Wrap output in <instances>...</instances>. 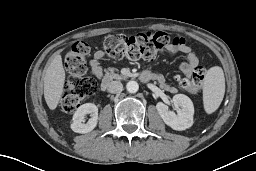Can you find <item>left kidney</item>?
Listing matches in <instances>:
<instances>
[{
	"label": "left kidney",
	"instance_id": "1",
	"mask_svg": "<svg viewBox=\"0 0 256 171\" xmlns=\"http://www.w3.org/2000/svg\"><path fill=\"white\" fill-rule=\"evenodd\" d=\"M173 104L176 113L170 111L168 106L162 102H158L156 109L163 119L164 123L174 130L182 131L193 125L194 106L191 99L184 94H176L173 96Z\"/></svg>",
	"mask_w": 256,
	"mask_h": 171
}]
</instances>
